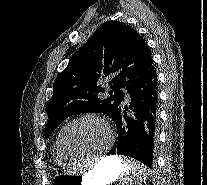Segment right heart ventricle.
I'll list each match as a JSON object with an SVG mask.
<instances>
[{
  "label": "right heart ventricle",
  "mask_w": 207,
  "mask_h": 185,
  "mask_svg": "<svg viewBox=\"0 0 207 185\" xmlns=\"http://www.w3.org/2000/svg\"><path fill=\"white\" fill-rule=\"evenodd\" d=\"M65 127L66 126H63L59 130V132L56 136L55 142H54V158H55L56 162L61 166H69V165H73V164L77 163V161L70 159L62 150L61 136H62V133H63Z\"/></svg>",
  "instance_id": "e07e8e85"
}]
</instances>
